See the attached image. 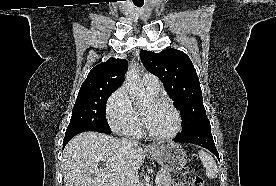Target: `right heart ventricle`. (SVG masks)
<instances>
[{
	"label": "right heart ventricle",
	"instance_id": "obj_1",
	"mask_svg": "<svg viewBox=\"0 0 276 186\" xmlns=\"http://www.w3.org/2000/svg\"><path fill=\"white\" fill-rule=\"evenodd\" d=\"M149 91V90H148ZM151 92V91H150ZM151 93H153V92H151ZM153 94H155V93H153ZM134 136H140V135H142V130H141V126H139V128H138V130L133 134Z\"/></svg>",
	"mask_w": 276,
	"mask_h": 186
}]
</instances>
